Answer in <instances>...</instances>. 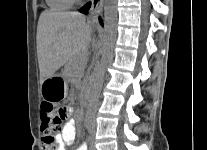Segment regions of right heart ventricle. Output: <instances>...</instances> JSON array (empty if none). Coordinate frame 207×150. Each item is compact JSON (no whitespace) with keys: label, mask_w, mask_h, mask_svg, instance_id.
<instances>
[{"label":"right heart ventricle","mask_w":207,"mask_h":150,"mask_svg":"<svg viewBox=\"0 0 207 150\" xmlns=\"http://www.w3.org/2000/svg\"><path fill=\"white\" fill-rule=\"evenodd\" d=\"M76 0H46L47 5L54 11H65L73 7Z\"/></svg>","instance_id":"right-heart-ventricle-1"}]
</instances>
